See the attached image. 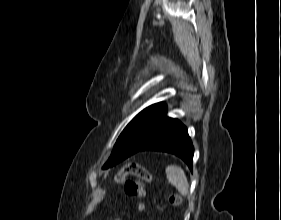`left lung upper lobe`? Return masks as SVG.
<instances>
[{"label":"left lung upper lobe","mask_w":281,"mask_h":220,"mask_svg":"<svg viewBox=\"0 0 281 220\" xmlns=\"http://www.w3.org/2000/svg\"><path fill=\"white\" fill-rule=\"evenodd\" d=\"M166 113V104L160 102L145 108L136 115L120 134L103 168H109L138 152L151 139L166 117Z\"/></svg>","instance_id":"1"}]
</instances>
